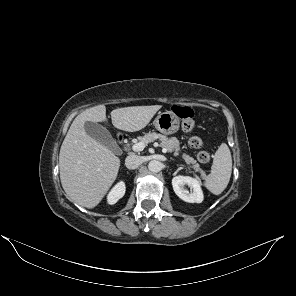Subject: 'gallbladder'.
Here are the masks:
<instances>
[{
	"instance_id": "obj_1",
	"label": "gallbladder",
	"mask_w": 296,
	"mask_h": 296,
	"mask_svg": "<svg viewBox=\"0 0 296 296\" xmlns=\"http://www.w3.org/2000/svg\"><path fill=\"white\" fill-rule=\"evenodd\" d=\"M84 128L90 137L110 149L112 152L116 153L118 151L116 141L105 127L98 123L87 121L85 122Z\"/></svg>"
}]
</instances>
